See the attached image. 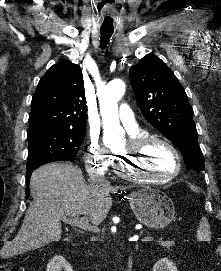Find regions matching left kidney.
I'll use <instances>...</instances> for the list:
<instances>
[{
	"instance_id": "obj_1",
	"label": "left kidney",
	"mask_w": 221,
	"mask_h": 271,
	"mask_svg": "<svg viewBox=\"0 0 221 271\" xmlns=\"http://www.w3.org/2000/svg\"><path fill=\"white\" fill-rule=\"evenodd\" d=\"M153 271H178V269L176 265H174L172 259H168V257H161L159 261L154 263Z\"/></svg>"
}]
</instances>
